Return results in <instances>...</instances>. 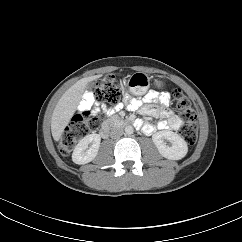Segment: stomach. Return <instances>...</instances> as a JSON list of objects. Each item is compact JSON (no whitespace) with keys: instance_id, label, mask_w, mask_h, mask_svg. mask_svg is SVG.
<instances>
[{"instance_id":"obj_1","label":"stomach","mask_w":242,"mask_h":242,"mask_svg":"<svg viewBox=\"0 0 242 242\" xmlns=\"http://www.w3.org/2000/svg\"><path fill=\"white\" fill-rule=\"evenodd\" d=\"M157 87H162L164 83L161 80H156ZM128 90L136 96L144 95L150 87V77L145 72H135L128 79Z\"/></svg>"}]
</instances>
